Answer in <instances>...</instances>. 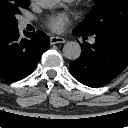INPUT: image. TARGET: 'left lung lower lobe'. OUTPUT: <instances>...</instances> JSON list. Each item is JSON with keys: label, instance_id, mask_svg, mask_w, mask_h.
<instances>
[{"label": "left lung lower lobe", "instance_id": "1", "mask_svg": "<svg viewBox=\"0 0 128 128\" xmlns=\"http://www.w3.org/2000/svg\"><path fill=\"white\" fill-rule=\"evenodd\" d=\"M76 36H91L75 28ZM93 45L83 42L81 56L69 65L80 83L97 88L108 84L128 66V33L97 36Z\"/></svg>", "mask_w": 128, "mask_h": 128}]
</instances>
